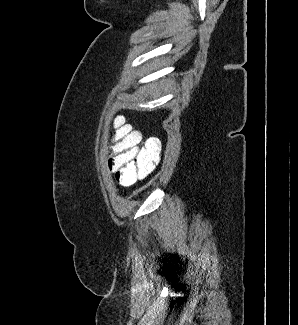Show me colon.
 <instances>
[{"label":"colon","mask_w":298,"mask_h":325,"mask_svg":"<svg viewBox=\"0 0 298 325\" xmlns=\"http://www.w3.org/2000/svg\"><path fill=\"white\" fill-rule=\"evenodd\" d=\"M114 134L108 167L117 182L129 186L151 174L157 162L152 146H140L141 135L118 116L113 122Z\"/></svg>","instance_id":"obj_1"}]
</instances>
